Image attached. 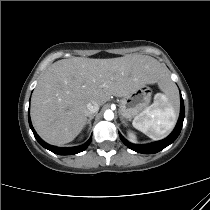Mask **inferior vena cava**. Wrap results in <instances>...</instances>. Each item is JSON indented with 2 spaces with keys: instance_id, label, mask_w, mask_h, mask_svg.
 Instances as JSON below:
<instances>
[{
  "instance_id": "obj_1",
  "label": "inferior vena cava",
  "mask_w": 210,
  "mask_h": 210,
  "mask_svg": "<svg viewBox=\"0 0 210 210\" xmlns=\"http://www.w3.org/2000/svg\"><path fill=\"white\" fill-rule=\"evenodd\" d=\"M99 110V105L96 102H90L87 104V114L90 117L91 115L97 113Z\"/></svg>"
}]
</instances>
